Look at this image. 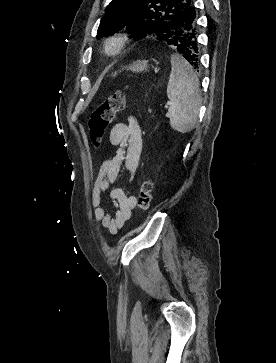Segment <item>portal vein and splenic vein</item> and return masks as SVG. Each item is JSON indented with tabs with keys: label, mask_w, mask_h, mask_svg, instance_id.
Returning a JSON list of instances; mask_svg holds the SVG:
<instances>
[{
	"label": "portal vein and splenic vein",
	"mask_w": 276,
	"mask_h": 363,
	"mask_svg": "<svg viewBox=\"0 0 276 363\" xmlns=\"http://www.w3.org/2000/svg\"><path fill=\"white\" fill-rule=\"evenodd\" d=\"M165 108H168V104H167V105H165Z\"/></svg>",
	"instance_id": "18ae733b"
}]
</instances>
